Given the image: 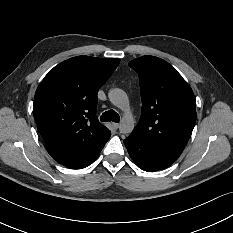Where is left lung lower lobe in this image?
<instances>
[{
    "instance_id": "left-lung-lower-lobe-1",
    "label": "left lung lower lobe",
    "mask_w": 233,
    "mask_h": 233,
    "mask_svg": "<svg viewBox=\"0 0 233 233\" xmlns=\"http://www.w3.org/2000/svg\"><path fill=\"white\" fill-rule=\"evenodd\" d=\"M124 144L138 167L148 172L164 169L180 156L176 152L150 144L132 133L124 140Z\"/></svg>"
}]
</instances>
